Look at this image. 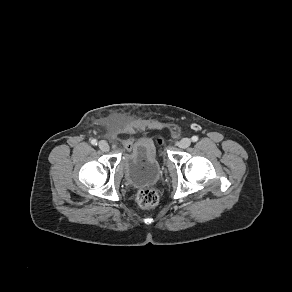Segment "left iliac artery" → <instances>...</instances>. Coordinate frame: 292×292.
<instances>
[{"instance_id":"1","label":"left iliac artery","mask_w":292,"mask_h":292,"mask_svg":"<svg viewBox=\"0 0 292 292\" xmlns=\"http://www.w3.org/2000/svg\"><path fill=\"white\" fill-rule=\"evenodd\" d=\"M191 139H192L193 142H196V141H198V136H192Z\"/></svg>"}]
</instances>
